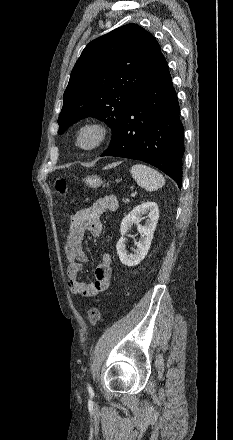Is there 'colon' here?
<instances>
[{"label": "colon", "instance_id": "colon-1", "mask_svg": "<svg viewBox=\"0 0 233 440\" xmlns=\"http://www.w3.org/2000/svg\"><path fill=\"white\" fill-rule=\"evenodd\" d=\"M53 188L56 193L63 196L66 195L68 192L66 178L63 176H57L53 180ZM100 318L101 310L98 307L93 306L88 310V320L91 325H95L100 320Z\"/></svg>", "mask_w": 233, "mask_h": 440}]
</instances>
